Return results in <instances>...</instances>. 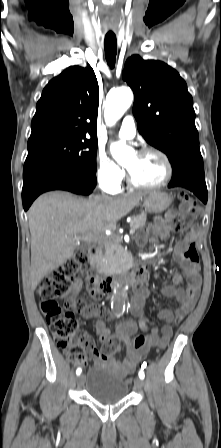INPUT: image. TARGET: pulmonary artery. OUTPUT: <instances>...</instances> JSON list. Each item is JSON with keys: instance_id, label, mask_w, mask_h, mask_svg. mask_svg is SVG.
<instances>
[{"instance_id": "pulmonary-artery-1", "label": "pulmonary artery", "mask_w": 221, "mask_h": 448, "mask_svg": "<svg viewBox=\"0 0 221 448\" xmlns=\"http://www.w3.org/2000/svg\"><path fill=\"white\" fill-rule=\"evenodd\" d=\"M114 134L124 139L134 138L136 135V124L134 117L131 115L124 117L120 129L115 130Z\"/></svg>"}]
</instances>
